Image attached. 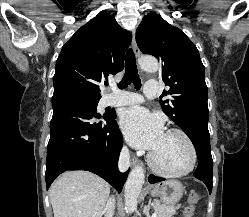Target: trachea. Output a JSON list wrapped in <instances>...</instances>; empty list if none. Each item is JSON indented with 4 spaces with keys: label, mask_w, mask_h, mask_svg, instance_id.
<instances>
[{
    "label": "trachea",
    "mask_w": 249,
    "mask_h": 217,
    "mask_svg": "<svg viewBox=\"0 0 249 217\" xmlns=\"http://www.w3.org/2000/svg\"><path fill=\"white\" fill-rule=\"evenodd\" d=\"M131 83L135 85V88L137 90L141 88V80L139 78L138 70L136 67L135 54L132 49H128L125 61V75L121 82L118 84V87L120 89H124Z\"/></svg>",
    "instance_id": "trachea-1"
}]
</instances>
